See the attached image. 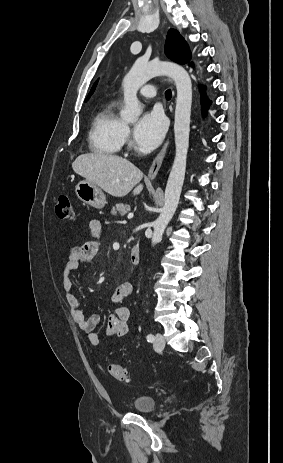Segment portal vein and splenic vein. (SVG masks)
<instances>
[{
	"label": "portal vein and splenic vein",
	"mask_w": 283,
	"mask_h": 463,
	"mask_svg": "<svg viewBox=\"0 0 283 463\" xmlns=\"http://www.w3.org/2000/svg\"><path fill=\"white\" fill-rule=\"evenodd\" d=\"M133 217V213L128 214V218L131 219Z\"/></svg>",
	"instance_id": "1"
}]
</instances>
